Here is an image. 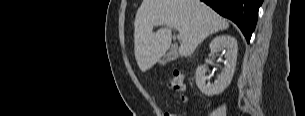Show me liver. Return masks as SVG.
Instances as JSON below:
<instances>
[{"label":"liver","mask_w":305,"mask_h":116,"mask_svg":"<svg viewBox=\"0 0 305 116\" xmlns=\"http://www.w3.org/2000/svg\"><path fill=\"white\" fill-rule=\"evenodd\" d=\"M160 22L165 27L153 32ZM228 27L200 0H143L134 22L135 59L142 72L150 69L169 49L173 28L182 35L179 54L190 56L206 37Z\"/></svg>","instance_id":"6515ba94"}]
</instances>
